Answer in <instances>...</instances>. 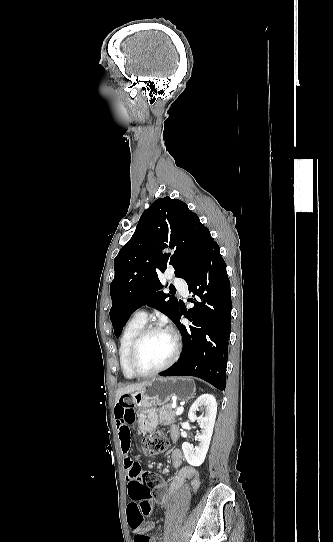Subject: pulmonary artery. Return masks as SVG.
<instances>
[{
    "label": "pulmonary artery",
    "instance_id": "1",
    "mask_svg": "<svg viewBox=\"0 0 333 542\" xmlns=\"http://www.w3.org/2000/svg\"><path fill=\"white\" fill-rule=\"evenodd\" d=\"M174 281L176 282V288L178 291H180V294L182 296H187L189 294V289L187 288V285L185 282L181 281L180 275L174 276ZM148 312L144 309H138L134 312L133 318L146 322L148 320Z\"/></svg>",
    "mask_w": 333,
    "mask_h": 542
}]
</instances>
